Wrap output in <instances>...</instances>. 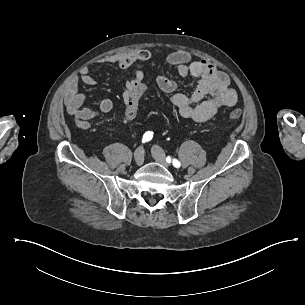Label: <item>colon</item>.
Returning a JSON list of instances; mask_svg holds the SVG:
<instances>
[{
  "instance_id": "1",
  "label": "colon",
  "mask_w": 305,
  "mask_h": 305,
  "mask_svg": "<svg viewBox=\"0 0 305 305\" xmlns=\"http://www.w3.org/2000/svg\"><path fill=\"white\" fill-rule=\"evenodd\" d=\"M144 92H145V88L143 85L138 84L135 86L134 90L131 92V95H129L127 97V101L125 103L126 106V112H125V116L127 119L129 120H133L136 116V106L138 105V103L140 101L143 100L144 98ZM242 115V110L240 109H236L233 110L229 113V117L231 119H237Z\"/></svg>"
}]
</instances>
